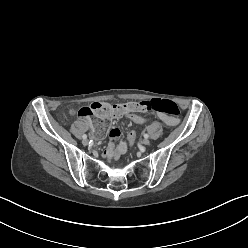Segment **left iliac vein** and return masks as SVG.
Returning a JSON list of instances; mask_svg holds the SVG:
<instances>
[{
    "label": "left iliac vein",
    "instance_id": "obj_1",
    "mask_svg": "<svg viewBox=\"0 0 248 248\" xmlns=\"http://www.w3.org/2000/svg\"><path fill=\"white\" fill-rule=\"evenodd\" d=\"M142 144L147 146V145L150 144V141L147 138H145V139L142 140Z\"/></svg>",
    "mask_w": 248,
    "mask_h": 248
}]
</instances>
